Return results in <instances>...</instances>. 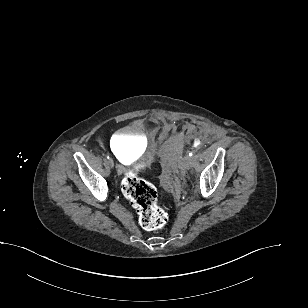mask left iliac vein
I'll list each match as a JSON object with an SVG mask.
<instances>
[{
	"label": "left iliac vein",
	"mask_w": 308,
	"mask_h": 308,
	"mask_svg": "<svg viewBox=\"0 0 308 308\" xmlns=\"http://www.w3.org/2000/svg\"><path fill=\"white\" fill-rule=\"evenodd\" d=\"M191 164H192V158L186 155L181 161V168L189 169L191 167Z\"/></svg>",
	"instance_id": "left-iliac-vein-1"
}]
</instances>
